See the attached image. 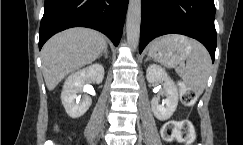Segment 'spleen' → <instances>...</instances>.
Here are the masks:
<instances>
[{
	"mask_svg": "<svg viewBox=\"0 0 243 145\" xmlns=\"http://www.w3.org/2000/svg\"><path fill=\"white\" fill-rule=\"evenodd\" d=\"M191 54L187 57L186 65L176 67V73L195 92L201 95L207 85L211 58L206 48L199 42L190 40Z\"/></svg>",
	"mask_w": 243,
	"mask_h": 145,
	"instance_id": "1",
	"label": "spleen"
}]
</instances>
